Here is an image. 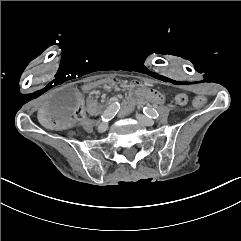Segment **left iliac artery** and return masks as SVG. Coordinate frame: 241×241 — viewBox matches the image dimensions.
Returning <instances> with one entry per match:
<instances>
[{
    "label": "left iliac artery",
    "mask_w": 241,
    "mask_h": 241,
    "mask_svg": "<svg viewBox=\"0 0 241 241\" xmlns=\"http://www.w3.org/2000/svg\"><path fill=\"white\" fill-rule=\"evenodd\" d=\"M143 113L150 118L156 119L159 117V113L155 109L150 108V107H144Z\"/></svg>",
    "instance_id": "left-iliac-artery-1"
}]
</instances>
